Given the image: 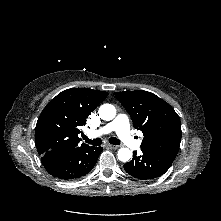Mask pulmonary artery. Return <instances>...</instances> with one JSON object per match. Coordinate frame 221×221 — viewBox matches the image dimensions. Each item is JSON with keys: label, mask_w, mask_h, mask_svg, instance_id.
<instances>
[{"label": "pulmonary artery", "mask_w": 221, "mask_h": 221, "mask_svg": "<svg viewBox=\"0 0 221 221\" xmlns=\"http://www.w3.org/2000/svg\"><path fill=\"white\" fill-rule=\"evenodd\" d=\"M115 131L120 140L128 147L136 149L140 147V141H137L131 134L129 120L125 115H118L112 122L87 133L89 138H96Z\"/></svg>", "instance_id": "obj_1"}]
</instances>
